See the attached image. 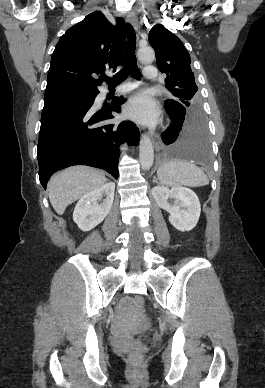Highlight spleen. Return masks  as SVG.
<instances>
[{
  "instance_id": "1",
  "label": "spleen",
  "mask_w": 265,
  "mask_h": 388,
  "mask_svg": "<svg viewBox=\"0 0 265 388\" xmlns=\"http://www.w3.org/2000/svg\"><path fill=\"white\" fill-rule=\"evenodd\" d=\"M157 176L162 186L168 188H178V186H207L209 180L202 172L201 168H197L194 162L189 160H170L165 162L159 170Z\"/></svg>"
}]
</instances>
